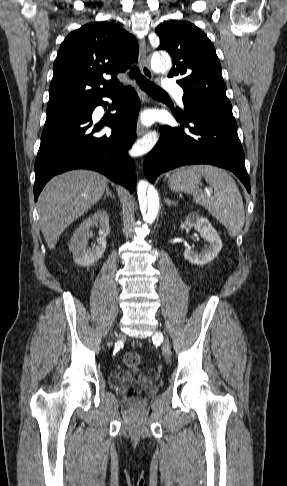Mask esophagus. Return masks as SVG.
<instances>
[{
    "label": "esophagus",
    "mask_w": 287,
    "mask_h": 486,
    "mask_svg": "<svg viewBox=\"0 0 287 486\" xmlns=\"http://www.w3.org/2000/svg\"><path fill=\"white\" fill-rule=\"evenodd\" d=\"M147 51H146V44L144 39L139 40V62H140V69L142 74L147 78V79H153V73L148 65L147 62V57H146ZM147 132V129L143 127L141 124L137 126V135L143 136Z\"/></svg>",
    "instance_id": "1"
}]
</instances>
